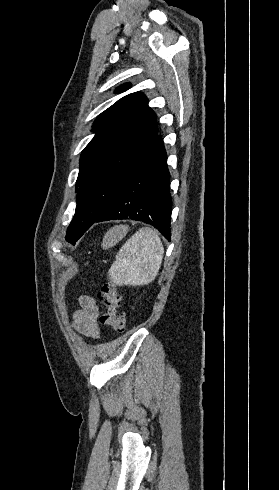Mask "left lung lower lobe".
I'll return each instance as SVG.
<instances>
[{"mask_svg":"<svg viewBox=\"0 0 279 490\" xmlns=\"http://www.w3.org/2000/svg\"><path fill=\"white\" fill-rule=\"evenodd\" d=\"M167 156L157 135L118 190L110 208L96 221L132 219L150 224L169 241L172 199Z\"/></svg>","mask_w":279,"mask_h":490,"instance_id":"left-lung-lower-lobe-1","label":"left lung lower lobe"}]
</instances>
